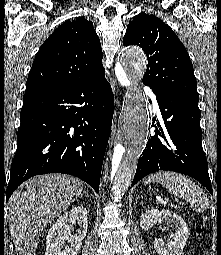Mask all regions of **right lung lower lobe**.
Instances as JSON below:
<instances>
[{
  "instance_id": "98d812e1",
  "label": "right lung lower lobe",
  "mask_w": 221,
  "mask_h": 255,
  "mask_svg": "<svg viewBox=\"0 0 221 255\" xmlns=\"http://www.w3.org/2000/svg\"><path fill=\"white\" fill-rule=\"evenodd\" d=\"M104 75L24 97L6 201L25 180L45 173L74 175L99 191L114 112Z\"/></svg>"
}]
</instances>
